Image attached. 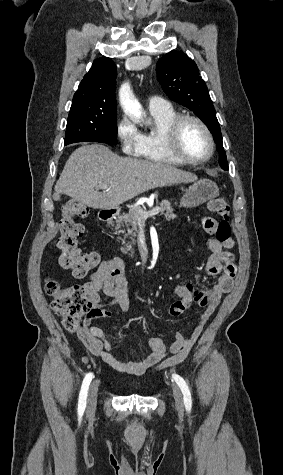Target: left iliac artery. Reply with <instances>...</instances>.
<instances>
[{"label": "left iliac artery", "mask_w": 283, "mask_h": 475, "mask_svg": "<svg viewBox=\"0 0 283 475\" xmlns=\"http://www.w3.org/2000/svg\"><path fill=\"white\" fill-rule=\"evenodd\" d=\"M172 378L175 380V382L180 387V389L183 393V396H184L185 407L188 411H190L191 406H192V399H191V393H190V390L188 388V385L186 384L184 379L182 377H180L179 375H177V374H173Z\"/></svg>", "instance_id": "44dca946"}]
</instances>
